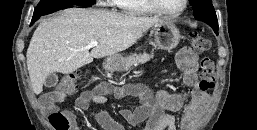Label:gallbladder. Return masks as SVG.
Masks as SVG:
<instances>
[{"instance_id":"obj_1","label":"gallbladder","mask_w":257,"mask_h":130,"mask_svg":"<svg viewBox=\"0 0 257 130\" xmlns=\"http://www.w3.org/2000/svg\"><path fill=\"white\" fill-rule=\"evenodd\" d=\"M58 83V76L57 74L55 73H52L50 74L45 82H44V85L47 87V88H51V87H54L56 84Z\"/></svg>"}]
</instances>
